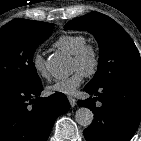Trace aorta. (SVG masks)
I'll use <instances>...</instances> for the list:
<instances>
[{
	"label": "aorta",
	"instance_id": "aorta-1",
	"mask_svg": "<svg viewBox=\"0 0 141 141\" xmlns=\"http://www.w3.org/2000/svg\"><path fill=\"white\" fill-rule=\"evenodd\" d=\"M47 70L56 78H64L70 74V63L64 56L54 54L46 61ZM94 118L92 111L81 107L75 113L76 122L84 127L90 126Z\"/></svg>",
	"mask_w": 141,
	"mask_h": 141
}]
</instances>
